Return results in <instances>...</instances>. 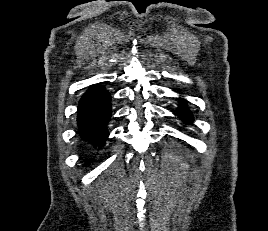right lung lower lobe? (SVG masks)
Masks as SVG:
<instances>
[{"instance_id": "right-lung-lower-lobe-1", "label": "right lung lower lobe", "mask_w": 268, "mask_h": 231, "mask_svg": "<svg viewBox=\"0 0 268 231\" xmlns=\"http://www.w3.org/2000/svg\"><path fill=\"white\" fill-rule=\"evenodd\" d=\"M112 114L110 94L93 86L85 92L78 106V134L89 144L101 146L108 137L107 124Z\"/></svg>"}]
</instances>
